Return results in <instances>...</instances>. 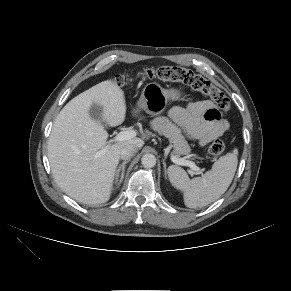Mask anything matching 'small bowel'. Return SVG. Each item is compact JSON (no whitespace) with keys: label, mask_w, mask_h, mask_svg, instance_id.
<instances>
[{"label":"small bowel","mask_w":291,"mask_h":291,"mask_svg":"<svg viewBox=\"0 0 291 291\" xmlns=\"http://www.w3.org/2000/svg\"><path fill=\"white\" fill-rule=\"evenodd\" d=\"M170 115L201 145L223 135L229 126L228 122L221 118L215 105L208 100L193 101L186 109L174 107Z\"/></svg>","instance_id":"small-bowel-1"}]
</instances>
